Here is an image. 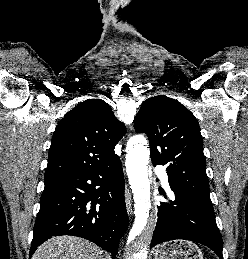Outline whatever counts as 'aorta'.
<instances>
[{"label": "aorta", "instance_id": "1", "mask_svg": "<svg viewBox=\"0 0 248 259\" xmlns=\"http://www.w3.org/2000/svg\"><path fill=\"white\" fill-rule=\"evenodd\" d=\"M146 139L142 136H135L130 139L126 154V172L134 199L136 234L146 235L152 231L148 223L151 202L150 183L148 178L149 150L146 146ZM142 240V237H141ZM147 246L141 242L135 243L126 253V259H146Z\"/></svg>", "mask_w": 248, "mask_h": 259}]
</instances>
